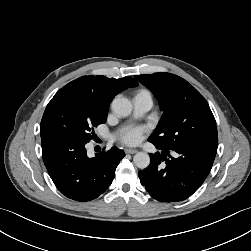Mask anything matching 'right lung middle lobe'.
I'll return each mask as SVG.
<instances>
[{"label":"right lung middle lobe","instance_id":"right-lung-middle-lobe-1","mask_svg":"<svg viewBox=\"0 0 251 251\" xmlns=\"http://www.w3.org/2000/svg\"><path fill=\"white\" fill-rule=\"evenodd\" d=\"M107 112L87 97L60 89L47 105L40 124V136H66L88 143L93 128L106 122Z\"/></svg>","mask_w":251,"mask_h":251}]
</instances>
